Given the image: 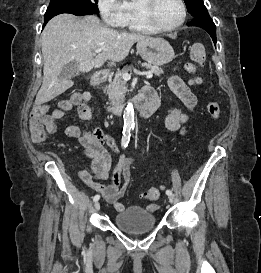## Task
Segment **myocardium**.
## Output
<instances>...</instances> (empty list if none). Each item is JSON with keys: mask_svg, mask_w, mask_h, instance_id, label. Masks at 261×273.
I'll use <instances>...</instances> for the list:
<instances>
[{"mask_svg": "<svg viewBox=\"0 0 261 273\" xmlns=\"http://www.w3.org/2000/svg\"><path fill=\"white\" fill-rule=\"evenodd\" d=\"M182 11V16L180 21L175 24L172 27H162L158 24L155 18V10L158 5L159 0H144L143 3V11H144V16L147 24L156 32H162V33H168V32H173L177 29H179L186 21L187 18V7L184 2V0H177Z\"/></svg>", "mask_w": 261, "mask_h": 273, "instance_id": "obj_1", "label": "myocardium"}]
</instances>
